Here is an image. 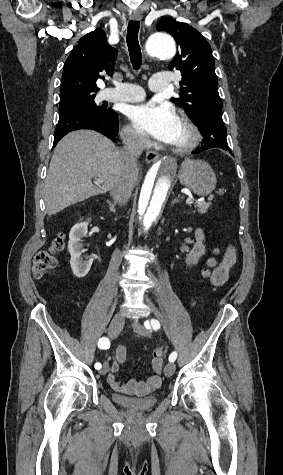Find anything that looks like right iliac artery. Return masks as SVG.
Instances as JSON below:
<instances>
[{"instance_id": "1", "label": "right iliac artery", "mask_w": 283, "mask_h": 475, "mask_svg": "<svg viewBox=\"0 0 283 475\" xmlns=\"http://www.w3.org/2000/svg\"><path fill=\"white\" fill-rule=\"evenodd\" d=\"M98 347L100 349H108L110 347V342H109V339L106 338V337H102L99 339V342H98ZM95 369L99 370L102 366H101V363L97 362L95 365H94Z\"/></svg>"}]
</instances>
